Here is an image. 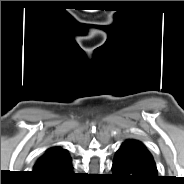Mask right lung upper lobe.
<instances>
[{
    "label": "right lung upper lobe",
    "mask_w": 184,
    "mask_h": 184,
    "mask_svg": "<svg viewBox=\"0 0 184 184\" xmlns=\"http://www.w3.org/2000/svg\"><path fill=\"white\" fill-rule=\"evenodd\" d=\"M68 157L69 155L67 154L66 150L60 147H52L48 149L42 157L39 158L34 166L33 172L39 173L47 171Z\"/></svg>",
    "instance_id": "obj_1"
}]
</instances>
